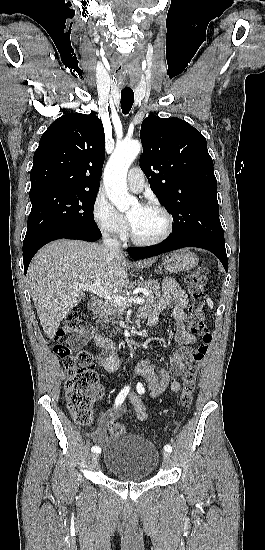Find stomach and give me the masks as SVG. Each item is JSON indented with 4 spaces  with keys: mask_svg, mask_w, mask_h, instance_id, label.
Listing matches in <instances>:
<instances>
[{
    "mask_svg": "<svg viewBox=\"0 0 265 550\" xmlns=\"http://www.w3.org/2000/svg\"><path fill=\"white\" fill-rule=\"evenodd\" d=\"M198 264L197 256L188 250H179L166 255L161 266L167 272L187 271L194 268Z\"/></svg>",
    "mask_w": 265,
    "mask_h": 550,
    "instance_id": "obj_1",
    "label": "stomach"
}]
</instances>
